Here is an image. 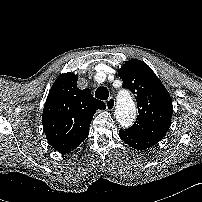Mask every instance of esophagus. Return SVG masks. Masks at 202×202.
I'll return each instance as SVG.
<instances>
[{"label": "esophagus", "instance_id": "1", "mask_svg": "<svg viewBox=\"0 0 202 202\" xmlns=\"http://www.w3.org/2000/svg\"><path fill=\"white\" fill-rule=\"evenodd\" d=\"M107 110H113L115 108L116 102L113 97H110L108 100L105 102Z\"/></svg>", "mask_w": 202, "mask_h": 202}]
</instances>
